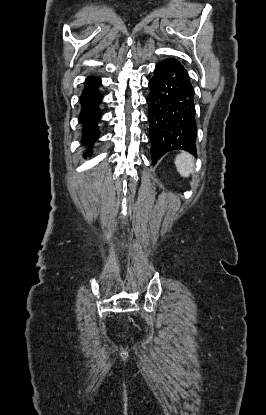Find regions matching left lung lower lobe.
Here are the masks:
<instances>
[{"label":"left lung lower lobe","mask_w":266,"mask_h":415,"mask_svg":"<svg viewBox=\"0 0 266 415\" xmlns=\"http://www.w3.org/2000/svg\"><path fill=\"white\" fill-rule=\"evenodd\" d=\"M147 97L153 164L167 152L196 155L194 88L186 69L174 58L158 63Z\"/></svg>","instance_id":"1"}]
</instances>
